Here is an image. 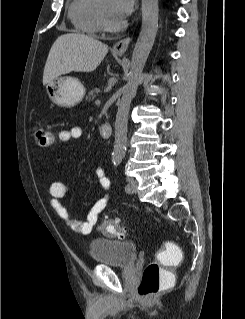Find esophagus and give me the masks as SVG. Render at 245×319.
Returning <instances> with one entry per match:
<instances>
[{
    "mask_svg": "<svg viewBox=\"0 0 245 319\" xmlns=\"http://www.w3.org/2000/svg\"><path fill=\"white\" fill-rule=\"evenodd\" d=\"M130 41H131V37H126L122 40H119L118 42L114 44L112 51L119 55L124 54L128 49Z\"/></svg>",
    "mask_w": 245,
    "mask_h": 319,
    "instance_id": "1",
    "label": "esophagus"
}]
</instances>
